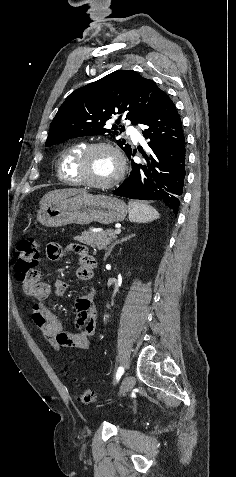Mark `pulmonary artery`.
Segmentation results:
<instances>
[{
  "mask_svg": "<svg viewBox=\"0 0 236 477\" xmlns=\"http://www.w3.org/2000/svg\"><path fill=\"white\" fill-rule=\"evenodd\" d=\"M128 131L130 132V134L132 135V138H133L135 141H139V140L141 139V136H140V135L131 133V129H130V128H128Z\"/></svg>",
  "mask_w": 236,
  "mask_h": 477,
  "instance_id": "1",
  "label": "pulmonary artery"
}]
</instances>
